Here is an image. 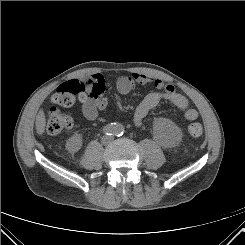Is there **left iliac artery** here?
Listing matches in <instances>:
<instances>
[{
  "instance_id": "1",
  "label": "left iliac artery",
  "mask_w": 245,
  "mask_h": 245,
  "mask_svg": "<svg viewBox=\"0 0 245 245\" xmlns=\"http://www.w3.org/2000/svg\"><path fill=\"white\" fill-rule=\"evenodd\" d=\"M123 132H124V128L121 125H117L115 131L116 136L123 135Z\"/></svg>"
}]
</instances>
